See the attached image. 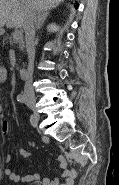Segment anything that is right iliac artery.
<instances>
[{"mask_svg": "<svg viewBox=\"0 0 119 185\" xmlns=\"http://www.w3.org/2000/svg\"><path fill=\"white\" fill-rule=\"evenodd\" d=\"M17 101L20 102V103H24L25 102V98L23 95L19 94L17 95ZM31 124H34L35 122L34 121H31L30 122ZM34 126V125H33Z\"/></svg>", "mask_w": 119, "mask_h": 185, "instance_id": "82829eb1", "label": "right iliac artery"}]
</instances>
